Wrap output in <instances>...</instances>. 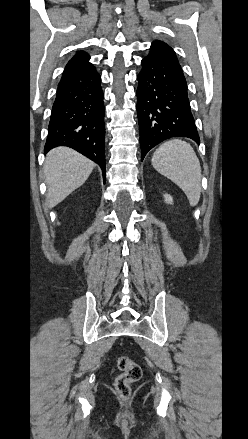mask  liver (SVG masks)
I'll use <instances>...</instances> for the list:
<instances>
[{
    "mask_svg": "<svg viewBox=\"0 0 248 439\" xmlns=\"http://www.w3.org/2000/svg\"><path fill=\"white\" fill-rule=\"evenodd\" d=\"M95 164L68 147L52 149L44 164L48 207L53 208L85 183Z\"/></svg>",
    "mask_w": 248,
    "mask_h": 439,
    "instance_id": "6515ba94",
    "label": "liver"
}]
</instances>
